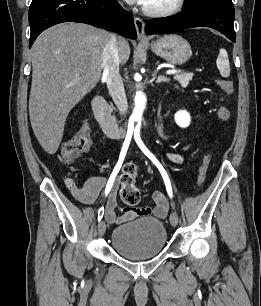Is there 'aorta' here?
I'll return each mask as SVG.
<instances>
[{
  "label": "aorta",
  "mask_w": 261,
  "mask_h": 306,
  "mask_svg": "<svg viewBox=\"0 0 261 306\" xmlns=\"http://www.w3.org/2000/svg\"><path fill=\"white\" fill-rule=\"evenodd\" d=\"M147 99L145 95L138 91L133 99V111L131 114V121L133 123H141L143 119V114L146 108Z\"/></svg>",
  "instance_id": "aorta-1"
}]
</instances>
